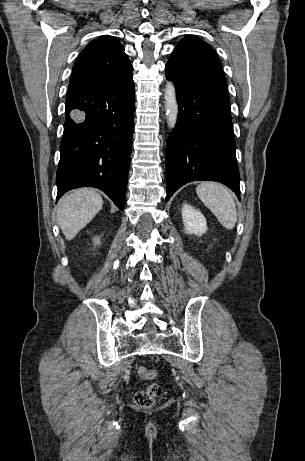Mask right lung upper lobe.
<instances>
[{
	"instance_id": "1",
	"label": "right lung upper lobe",
	"mask_w": 305,
	"mask_h": 461,
	"mask_svg": "<svg viewBox=\"0 0 305 461\" xmlns=\"http://www.w3.org/2000/svg\"><path fill=\"white\" fill-rule=\"evenodd\" d=\"M133 67L123 46L114 37L100 36L78 56L68 92L108 85L132 74Z\"/></svg>"
}]
</instances>
